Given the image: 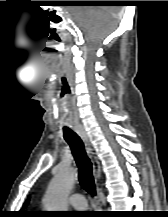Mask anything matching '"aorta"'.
<instances>
[{"instance_id":"762f6f07","label":"aorta","mask_w":168,"mask_h":217,"mask_svg":"<svg viewBox=\"0 0 168 217\" xmlns=\"http://www.w3.org/2000/svg\"><path fill=\"white\" fill-rule=\"evenodd\" d=\"M75 183L72 169H60L48 185L44 197V207L47 211H67V198Z\"/></svg>"}]
</instances>
